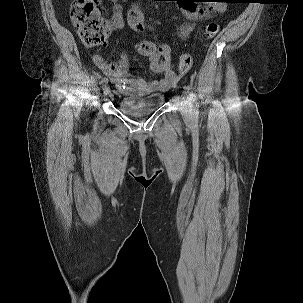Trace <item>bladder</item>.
<instances>
[{
	"label": "bladder",
	"instance_id": "obj_1",
	"mask_svg": "<svg viewBox=\"0 0 303 303\" xmlns=\"http://www.w3.org/2000/svg\"><path fill=\"white\" fill-rule=\"evenodd\" d=\"M165 95L159 93H127L119 100L120 110L130 117L141 118L157 110L164 102Z\"/></svg>",
	"mask_w": 303,
	"mask_h": 303
}]
</instances>
